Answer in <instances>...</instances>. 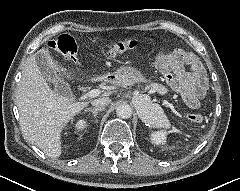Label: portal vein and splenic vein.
<instances>
[{
  "label": "portal vein and splenic vein",
  "instance_id": "18ae733b",
  "mask_svg": "<svg viewBox=\"0 0 240 191\" xmlns=\"http://www.w3.org/2000/svg\"><path fill=\"white\" fill-rule=\"evenodd\" d=\"M152 92H155V91H152ZM100 93H101V90L93 89V90H90L89 92H87L86 96L90 97V98H94V97L99 96Z\"/></svg>",
  "mask_w": 240,
  "mask_h": 191
}]
</instances>
